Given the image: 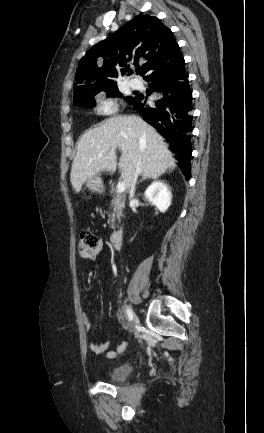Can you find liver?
<instances>
[{
    "instance_id": "liver-1",
    "label": "liver",
    "mask_w": 264,
    "mask_h": 433,
    "mask_svg": "<svg viewBox=\"0 0 264 433\" xmlns=\"http://www.w3.org/2000/svg\"><path fill=\"white\" fill-rule=\"evenodd\" d=\"M117 148L121 150L119 163ZM117 165L127 189L137 165L143 176L153 178L176 167L163 138L135 115L111 117L82 135L70 173L75 192L102 171L114 173Z\"/></svg>"
}]
</instances>
